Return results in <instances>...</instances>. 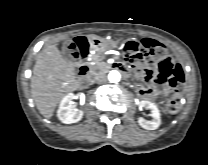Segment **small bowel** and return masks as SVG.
I'll return each mask as SVG.
<instances>
[{
    "label": "small bowel",
    "instance_id": "obj_1",
    "mask_svg": "<svg viewBox=\"0 0 208 165\" xmlns=\"http://www.w3.org/2000/svg\"><path fill=\"white\" fill-rule=\"evenodd\" d=\"M136 75L151 86L138 88L141 98L155 100L160 96H168L173 91L182 89L186 83L185 70L179 60L173 56H164L157 67L145 66L136 71Z\"/></svg>",
    "mask_w": 208,
    "mask_h": 165
}]
</instances>
